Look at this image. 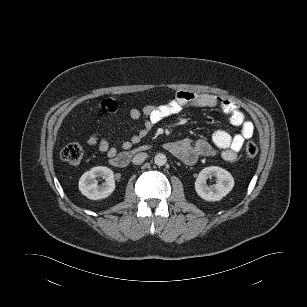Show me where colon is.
Instances as JSON below:
<instances>
[{"label":"colon","mask_w":307,"mask_h":307,"mask_svg":"<svg viewBox=\"0 0 307 307\" xmlns=\"http://www.w3.org/2000/svg\"><path fill=\"white\" fill-rule=\"evenodd\" d=\"M244 152L247 158H254L258 153V147L254 142H248ZM60 155L65 162L76 165L83 157V149L77 143H70L63 147Z\"/></svg>","instance_id":"obj_1"}]
</instances>
